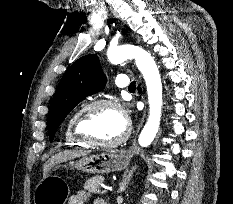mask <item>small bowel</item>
<instances>
[{"mask_svg":"<svg viewBox=\"0 0 233 204\" xmlns=\"http://www.w3.org/2000/svg\"><path fill=\"white\" fill-rule=\"evenodd\" d=\"M89 194L86 191L80 190L69 199V204H85ZM94 204H107L103 199L95 200Z\"/></svg>","mask_w":233,"mask_h":204,"instance_id":"c3829d8e","label":"small bowel"}]
</instances>
